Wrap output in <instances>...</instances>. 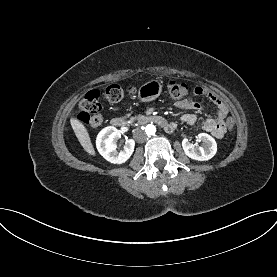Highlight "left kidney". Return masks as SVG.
Returning <instances> with one entry per match:
<instances>
[{
  "label": "left kidney",
  "mask_w": 277,
  "mask_h": 277,
  "mask_svg": "<svg viewBox=\"0 0 277 277\" xmlns=\"http://www.w3.org/2000/svg\"><path fill=\"white\" fill-rule=\"evenodd\" d=\"M198 139L203 142V147H197L187 138L182 141V147L185 154L194 160L207 161L214 157L217 152V144L213 137L207 133L198 134Z\"/></svg>",
  "instance_id": "5707ae66"
}]
</instances>
